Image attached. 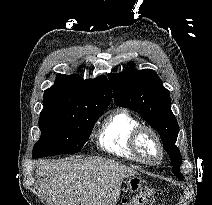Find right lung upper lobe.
<instances>
[{
  "mask_svg": "<svg viewBox=\"0 0 212 205\" xmlns=\"http://www.w3.org/2000/svg\"><path fill=\"white\" fill-rule=\"evenodd\" d=\"M112 90L106 76L84 80L78 75L58 74L43 97L42 114H56L80 106L109 105Z\"/></svg>",
  "mask_w": 212,
  "mask_h": 205,
  "instance_id": "cb5924a9",
  "label": "right lung upper lobe"
}]
</instances>
